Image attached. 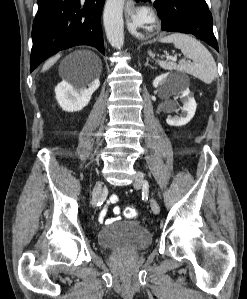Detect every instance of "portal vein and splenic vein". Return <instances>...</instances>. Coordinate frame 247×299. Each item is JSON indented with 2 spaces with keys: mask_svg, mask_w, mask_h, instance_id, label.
Segmentation results:
<instances>
[{
  "mask_svg": "<svg viewBox=\"0 0 247 299\" xmlns=\"http://www.w3.org/2000/svg\"><path fill=\"white\" fill-rule=\"evenodd\" d=\"M170 59L173 60V61H176V58H175V57H171Z\"/></svg>",
  "mask_w": 247,
  "mask_h": 299,
  "instance_id": "18ae733b",
  "label": "portal vein and splenic vein"
}]
</instances>
